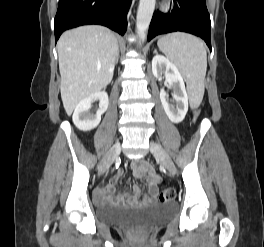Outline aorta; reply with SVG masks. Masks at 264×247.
Returning <instances> with one entry per match:
<instances>
[{
    "label": "aorta",
    "instance_id": "aorta-1",
    "mask_svg": "<svg viewBox=\"0 0 264 247\" xmlns=\"http://www.w3.org/2000/svg\"><path fill=\"white\" fill-rule=\"evenodd\" d=\"M155 4L156 0H140L136 17V32L140 43L144 42L146 38V32L153 16Z\"/></svg>",
    "mask_w": 264,
    "mask_h": 247
}]
</instances>
